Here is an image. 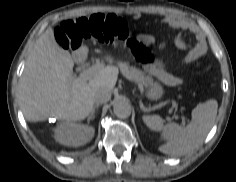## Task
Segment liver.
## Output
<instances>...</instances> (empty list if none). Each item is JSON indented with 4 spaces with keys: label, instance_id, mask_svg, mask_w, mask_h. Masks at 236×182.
Here are the masks:
<instances>
[{
    "label": "liver",
    "instance_id": "6515ba94",
    "mask_svg": "<svg viewBox=\"0 0 236 182\" xmlns=\"http://www.w3.org/2000/svg\"><path fill=\"white\" fill-rule=\"evenodd\" d=\"M86 53L82 48L77 55ZM105 60L114 62L109 55ZM73 67L71 54L58 45L53 29L48 28L30 53L19 82L20 107L28 121L83 120L93 111L95 92L116 85L118 69L112 65L89 79L73 75Z\"/></svg>",
    "mask_w": 236,
    "mask_h": 182
}]
</instances>
